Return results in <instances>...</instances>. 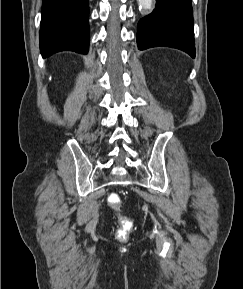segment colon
Segmentation results:
<instances>
[{"label":"colon","instance_id":"colon-1","mask_svg":"<svg viewBox=\"0 0 243 289\" xmlns=\"http://www.w3.org/2000/svg\"><path fill=\"white\" fill-rule=\"evenodd\" d=\"M108 203L111 208L114 210H120L121 208V198L117 193H111L108 197ZM133 227V223L129 218L121 217L120 219V226L117 231V237L120 240H126L129 236V233Z\"/></svg>","mask_w":243,"mask_h":289}]
</instances>
